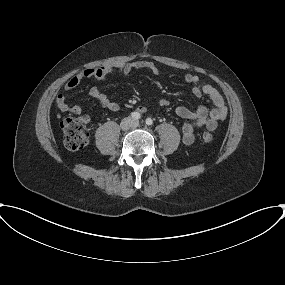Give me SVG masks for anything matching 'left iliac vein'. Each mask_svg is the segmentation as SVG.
Here are the masks:
<instances>
[{
	"label": "left iliac vein",
	"instance_id": "left-iliac-vein-1",
	"mask_svg": "<svg viewBox=\"0 0 285 285\" xmlns=\"http://www.w3.org/2000/svg\"><path fill=\"white\" fill-rule=\"evenodd\" d=\"M138 126H139V121L134 120L133 123H132V127L136 128Z\"/></svg>",
	"mask_w": 285,
	"mask_h": 285
}]
</instances>
